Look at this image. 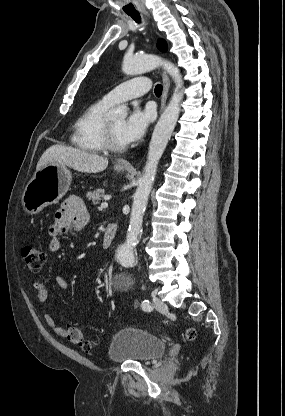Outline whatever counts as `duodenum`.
<instances>
[{
	"label": "duodenum",
	"mask_w": 285,
	"mask_h": 416,
	"mask_svg": "<svg viewBox=\"0 0 285 416\" xmlns=\"http://www.w3.org/2000/svg\"><path fill=\"white\" fill-rule=\"evenodd\" d=\"M117 234V226L114 223H108L102 239L103 249H109L112 246L113 240Z\"/></svg>",
	"instance_id": "1"
}]
</instances>
